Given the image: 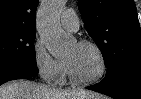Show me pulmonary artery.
<instances>
[{
	"instance_id": "obj_1",
	"label": "pulmonary artery",
	"mask_w": 141,
	"mask_h": 99,
	"mask_svg": "<svg viewBox=\"0 0 141 99\" xmlns=\"http://www.w3.org/2000/svg\"><path fill=\"white\" fill-rule=\"evenodd\" d=\"M61 25L68 31H76L79 28V19L73 9L65 10L61 15Z\"/></svg>"
}]
</instances>
